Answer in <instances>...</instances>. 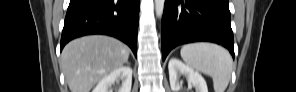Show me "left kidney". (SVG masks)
<instances>
[{"instance_id":"obj_1","label":"left kidney","mask_w":296,"mask_h":92,"mask_svg":"<svg viewBox=\"0 0 296 92\" xmlns=\"http://www.w3.org/2000/svg\"><path fill=\"white\" fill-rule=\"evenodd\" d=\"M170 86L173 92H180L182 82L179 81L181 75L185 76L188 85H193L196 92H208L207 84L200 73L184 64L177 58H172L168 64Z\"/></svg>"}]
</instances>
